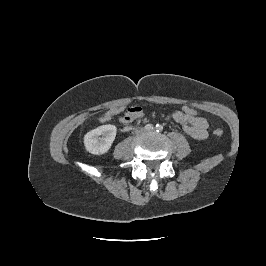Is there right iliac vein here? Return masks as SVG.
Here are the masks:
<instances>
[{
    "label": "right iliac vein",
    "instance_id": "1",
    "mask_svg": "<svg viewBox=\"0 0 266 266\" xmlns=\"http://www.w3.org/2000/svg\"><path fill=\"white\" fill-rule=\"evenodd\" d=\"M137 134H141L144 132V129L143 128H138L136 131H135Z\"/></svg>",
    "mask_w": 266,
    "mask_h": 266
}]
</instances>
